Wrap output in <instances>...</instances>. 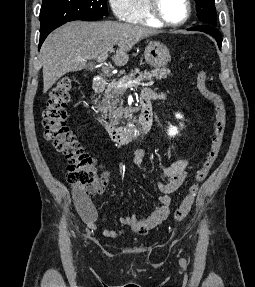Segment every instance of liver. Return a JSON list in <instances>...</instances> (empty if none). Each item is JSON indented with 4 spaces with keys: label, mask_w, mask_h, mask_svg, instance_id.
Segmentation results:
<instances>
[{
    "label": "liver",
    "mask_w": 255,
    "mask_h": 287,
    "mask_svg": "<svg viewBox=\"0 0 255 287\" xmlns=\"http://www.w3.org/2000/svg\"><path fill=\"white\" fill-rule=\"evenodd\" d=\"M159 34L158 30L121 24V22H68L46 38L41 50L43 64V94L67 72H79L86 66L83 60H95L100 54L113 52L115 44L119 46L113 62L116 66H125L129 60V50L133 46Z\"/></svg>",
    "instance_id": "obj_1"
}]
</instances>
